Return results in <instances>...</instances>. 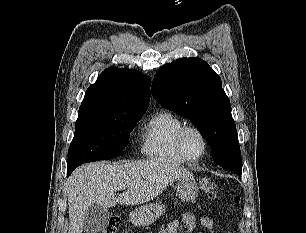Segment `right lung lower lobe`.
I'll list each match as a JSON object with an SVG mask.
<instances>
[{
    "label": "right lung lower lobe",
    "instance_id": "1",
    "mask_svg": "<svg viewBox=\"0 0 306 233\" xmlns=\"http://www.w3.org/2000/svg\"><path fill=\"white\" fill-rule=\"evenodd\" d=\"M73 170L67 169V174L69 175Z\"/></svg>",
    "mask_w": 306,
    "mask_h": 233
}]
</instances>
